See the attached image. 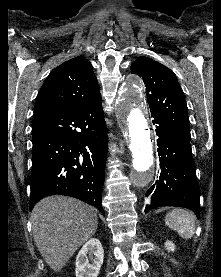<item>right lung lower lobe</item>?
<instances>
[{"label": "right lung lower lobe", "mask_w": 221, "mask_h": 277, "mask_svg": "<svg viewBox=\"0 0 221 277\" xmlns=\"http://www.w3.org/2000/svg\"><path fill=\"white\" fill-rule=\"evenodd\" d=\"M102 99L62 111L34 113L30 210L60 194L101 204L107 157Z\"/></svg>", "instance_id": "right-lung-lower-lobe-1"}]
</instances>
